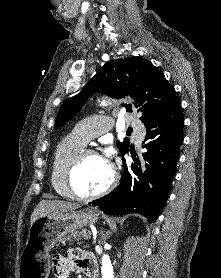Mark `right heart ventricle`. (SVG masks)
I'll list each match as a JSON object with an SVG mask.
<instances>
[{
    "instance_id": "1",
    "label": "right heart ventricle",
    "mask_w": 221,
    "mask_h": 278,
    "mask_svg": "<svg viewBox=\"0 0 221 278\" xmlns=\"http://www.w3.org/2000/svg\"><path fill=\"white\" fill-rule=\"evenodd\" d=\"M84 145L71 134L61 140L55 149L51 166V184L55 192L63 198H73L66 187L65 172L71 158Z\"/></svg>"
}]
</instances>
